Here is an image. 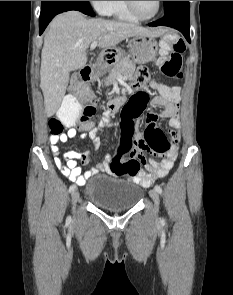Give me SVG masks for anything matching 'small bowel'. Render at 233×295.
<instances>
[{
	"label": "small bowel",
	"instance_id": "obj_1",
	"mask_svg": "<svg viewBox=\"0 0 233 295\" xmlns=\"http://www.w3.org/2000/svg\"><path fill=\"white\" fill-rule=\"evenodd\" d=\"M148 76V71L145 68L139 69L136 74V85L140 86L144 84L147 81ZM148 101V94L145 91H139L131 97L129 103L125 107L124 112L129 113L135 124L137 123L138 118L143 109L146 107ZM152 103L155 106L162 107L163 110L160 114H148L146 120L147 125L156 127V123L159 118H165L168 125L173 129L169 132L172 147L161 161H157L153 158L149 159L145 165V170H140L135 176H133V181L143 187H149L156 179L162 178L168 174L177 158L180 141V96L166 97L158 94L153 98ZM111 113L112 112L109 110L105 111L99 123L94 127H86L82 123H80L77 127L71 125L66 132L50 137V149L54 155L57 167L64 176L69 178L71 181L76 182L78 185H84L88 178L95 176L100 171L106 174H112L110 169L111 158L107 155L97 167L88 170L84 175H82V170L78 161H81L83 165L88 164L90 161V152L68 151L61 155L59 152V144L66 143L69 139L76 137L79 132H82L81 138L88 137L92 141L94 148H98L100 145L98 132L101 129L112 125Z\"/></svg>",
	"mask_w": 233,
	"mask_h": 295
}]
</instances>
